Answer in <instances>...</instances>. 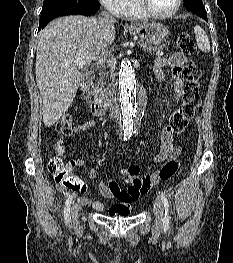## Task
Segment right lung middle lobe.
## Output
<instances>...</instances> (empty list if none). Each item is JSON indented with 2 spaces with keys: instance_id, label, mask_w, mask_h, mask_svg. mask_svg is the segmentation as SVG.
Returning a JSON list of instances; mask_svg holds the SVG:
<instances>
[{
  "instance_id": "obj_1",
  "label": "right lung middle lobe",
  "mask_w": 233,
  "mask_h": 263,
  "mask_svg": "<svg viewBox=\"0 0 233 263\" xmlns=\"http://www.w3.org/2000/svg\"><path fill=\"white\" fill-rule=\"evenodd\" d=\"M82 5L92 8L100 7L98 0H44L39 23L48 22L63 15H72Z\"/></svg>"
}]
</instances>
